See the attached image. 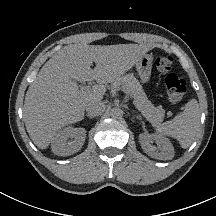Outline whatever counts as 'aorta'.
<instances>
[{"mask_svg":"<svg viewBox=\"0 0 216 216\" xmlns=\"http://www.w3.org/2000/svg\"><path fill=\"white\" fill-rule=\"evenodd\" d=\"M122 115L123 111L118 107H114L110 110V116L114 119H119Z\"/></svg>","mask_w":216,"mask_h":216,"instance_id":"762f6f07","label":"aorta"}]
</instances>
